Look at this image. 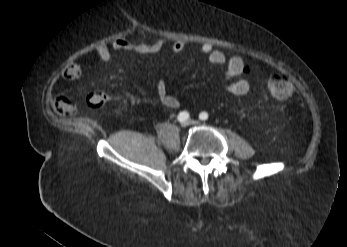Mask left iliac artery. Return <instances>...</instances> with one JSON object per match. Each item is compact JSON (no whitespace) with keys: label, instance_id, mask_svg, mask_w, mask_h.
Instances as JSON below:
<instances>
[{"label":"left iliac artery","instance_id":"left-iliac-artery-1","mask_svg":"<svg viewBox=\"0 0 347 247\" xmlns=\"http://www.w3.org/2000/svg\"><path fill=\"white\" fill-rule=\"evenodd\" d=\"M199 118H200V120L205 121V120L208 119V114H207L206 112H201V113L199 114Z\"/></svg>","mask_w":347,"mask_h":247}]
</instances>
